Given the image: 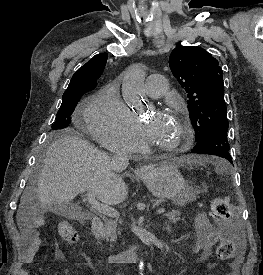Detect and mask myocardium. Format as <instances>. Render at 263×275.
Instances as JSON below:
<instances>
[{
  "label": "myocardium",
  "instance_id": "obj_1",
  "mask_svg": "<svg viewBox=\"0 0 263 275\" xmlns=\"http://www.w3.org/2000/svg\"><path fill=\"white\" fill-rule=\"evenodd\" d=\"M171 117L175 120L178 126L179 136L176 142L172 145H155V148L164 153H174L186 149L189 146L192 138V130L189 122L185 118L181 117L176 113L171 114Z\"/></svg>",
  "mask_w": 263,
  "mask_h": 275
}]
</instances>
